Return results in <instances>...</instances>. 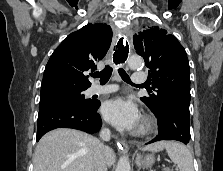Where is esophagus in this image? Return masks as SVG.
Instances as JSON below:
<instances>
[{
  "label": "esophagus",
  "mask_w": 223,
  "mask_h": 171,
  "mask_svg": "<svg viewBox=\"0 0 223 171\" xmlns=\"http://www.w3.org/2000/svg\"><path fill=\"white\" fill-rule=\"evenodd\" d=\"M117 51H113L112 64L117 68L128 60L129 50H131L130 38L128 34H121L117 41ZM117 146L120 150H128V144L125 141H118Z\"/></svg>",
  "instance_id": "obj_1"
}]
</instances>
